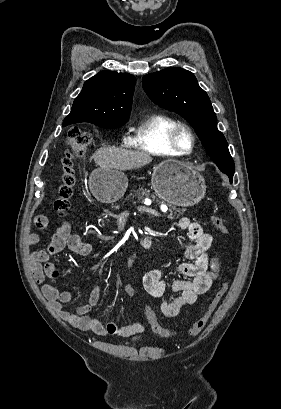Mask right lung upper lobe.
I'll list each match as a JSON object with an SVG mask.
<instances>
[{
  "instance_id": "1",
  "label": "right lung upper lobe",
  "mask_w": 281,
  "mask_h": 409,
  "mask_svg": "<svg viewBox=\"0 0 281 409\" xmlns=\"http://www.w3.org/2000/svg\"><path fill=\"white\" fill-rule=\"evenodd\" d=\"M136 78L103 71L84 83L63 126L78 122L124 123L129 119Z\"/></svg>"
}]
</instances>
